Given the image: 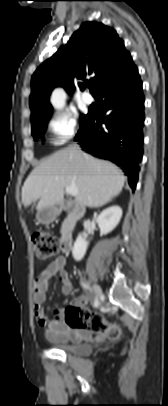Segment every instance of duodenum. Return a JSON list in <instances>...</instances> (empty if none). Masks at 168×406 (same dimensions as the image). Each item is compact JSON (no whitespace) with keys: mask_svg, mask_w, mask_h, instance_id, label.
<instances>
[{"mask_svg":"<svg viewBox=\"0 0 168 406\" xmlns=\"http://www.w3.org/2000/svg\"><path fill=\"white\" fill-rule=\"evenodd\" d=\"M56 212L70 213L69 219L66 222L65 230L61 237V249L64 253H69L72 249L73 232L75 223L82 218L83 212L70 201H59L55 204Z\"/></svg>","mask_w":168,"mask_h":406,"instance_id":"410a0bca","label":"duodenum"}]
</instances>
